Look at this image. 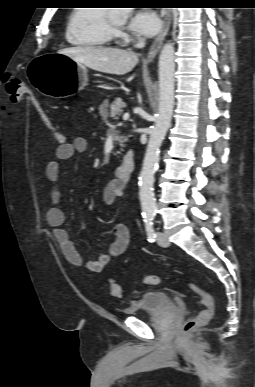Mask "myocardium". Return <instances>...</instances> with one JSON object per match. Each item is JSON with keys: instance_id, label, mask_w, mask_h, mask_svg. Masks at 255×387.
<instances>
[{"instance_id": "obj_1", "label": "myocardium", "mask_w": 255, "mask_h": 387, "mask_svg": "<svg viewBox=\"0 0 255 387\" xmlns=\"http://www.w3.org/2000/svg\"><path fill=\"white\" fill-rule=\"evenodd\" d=\"M108 25L110 29L115 33L118 30V27L111 21V19L108 17Z\"/></svg>"}]
</instances>
